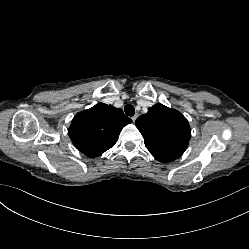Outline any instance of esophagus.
Here are the masks:
<instances>
[{
    "label": "esophagus",
    "mask_w": 249,
    "mask_h": 249,
    "mask_svg": "<svg viewBox=\"0 0 249 249\" xmlns=\"http://www.w3.org/2000/svg\"><path fill=\"white\" fill-rule=\"evenodd\" d=\"M137 116H138V115L136 114V115H134V116L132 117V121H133V122H135Z\"/></svg>",
    "instance_id": "34e87169"
}]
</instances>
